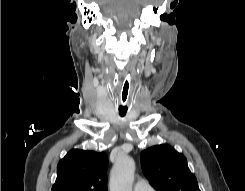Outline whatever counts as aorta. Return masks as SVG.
Wrapping results in <instances>:
<instances>
[{"label":"aorta","instance_id":"762f6f07","mask_svg":"<svg viewBox=\"0 0 245 191\" xmlns=\"http://www.w3.org/2000/svg\"><path fill=\"white\" fill-rule=\"evenodd\" d=\"M135 173V162L129 156H121L111 171L110 191H132Z\"/></svg>","mask_w":245,"mask_h":191}]
</instances>
